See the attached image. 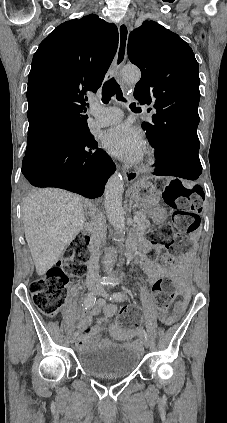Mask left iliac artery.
Returning <instances> with one entry per match:
<instances>
[{"mask_svg":"<svg viewBox=\"0 0 227 423\" xmlns=\"http://www.w3.org/2000/svg\"><path fill=\"white\" fill-rule=\"evenodd\" d=\"M116 300V301H120V300H123L124 299V295L122 294V293H120V292H117V293H114L111 297H110V300ZM143 336H144V338H145V340H148V334H147V332L144 330V332H143Z\"/></svg>","mask_w":227,"mask_h":423,"instance_id":"left-iliac-artery-1","label":"left iliac artery"}]
</instances>
